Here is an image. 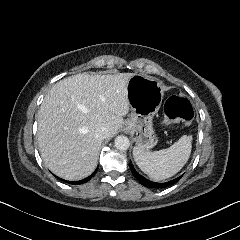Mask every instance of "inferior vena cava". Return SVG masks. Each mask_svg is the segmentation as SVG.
Listing matches in <instances>:
<instances>
[{
	"label": "inferior vena cava",
	"instance_id": "inferior-vena-cava-1",
	"mask_svg": "<svg viewBox=\"0 0 240 240\" xmlns=\"http://www.w3.org/2000/svg\"><path fill=\"white\" fill-rule=\"evenodd\" d=\"M96 136L101 140H104L105 138H107L108 136L107 128L101 127L100 129L96 130Z\"/></svg>",
	"mask_w": 240,
	"mask_h": 240
}]
</instances>
